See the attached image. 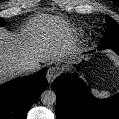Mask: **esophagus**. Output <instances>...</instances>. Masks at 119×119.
<instances>
[{
    "instance_id": "1",
    "label": "esophagus",
    "mask_w": 119,
    "mask_h": 119,
    "mask_svg": "<svg viewBox=\"0 0 119 119\" xmlns=\"http://www.w3.org/2000/svg\"><path fill=\"white\" fill-rule=\"evenodd\" d=\"M59 75V70L57 67H50L48 70H47V74H46V77H47V81L49 83H52L55 78Z\"/></svg>"
}]
</instances>
